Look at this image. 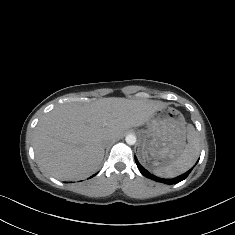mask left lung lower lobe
<instances>
[{
    "mask_svg": "<svg viewBox=\"0 0 235 235\" xmlns=\"http://www.w3.org/2000/svg\"><path fill=\"white\" fill-rule=\"evenodd\" d=\"M135 161H136V164H137V167L138 169L140 170V172L147 178H150V179H153L157 182H163L165 184H176L178 182H181L183 181L189 174L190 172L192 171V169H190L189 171H187L186 173L176 177V178H173V179H162V178H158L156 177L155 175L153 174H150L137 160V158L135 157Z\"/></svg>",
    "mask_w": 235,
    "mask_h": 235,
    "instance_id": "left-lung-lower-lobe-1",
    "label": "left lung lower lobe"
}]
</instances>
